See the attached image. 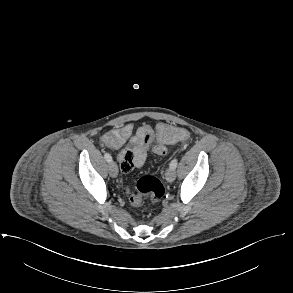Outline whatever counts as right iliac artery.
I'll return each instance as SVG.
<instances>
[{"label":"right iliac artery","instance_id":"82829eb1","mask_svg":"<svg viewBox=\"0 0 293 293\" xmlns=\"http://www.w3.org/2000/svg\"><path fill=\"white\" fill-rule=\"evenodd\" d=\"M104 158L106 159V161L108 163H110L112 161V157H111V155L109 153H105L104 154Z\"/></svg>","mask_w":293,"mask_h":293}]
</instances>
